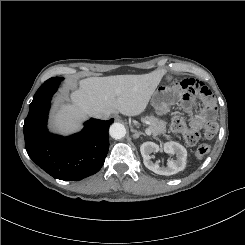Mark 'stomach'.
Instances as JSON below:
<instances>
[{
  "mask_svg": "<svg viewBox=\"0 0 245 245\" xmlns=\"http://www.w3.org/2000/svg\"><path fill=\"white\" fill-rule=\"evenodd\" d=\"M178 96L172 90V87L166 83L159 85L151 98V105L159 115L168 112L169 108L176 103Z\"/></svg>",
  "mask_w": 245,
  "mask_h": 245,
  "instance_id": "1",
  "label": "stomach"
}]
</instances>
